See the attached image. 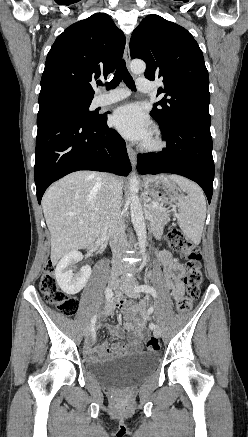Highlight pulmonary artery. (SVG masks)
<instances>
[{"instance_id": "1", "label": "pulmonary artery", "mask_w": 248, "mask_h": 437, "mask_svg": "<svg viewBox=\"0 0 248 437\" xmlns=\"http://www.w3.org/2000/svg\"><path fill=\"white\" fill-rule=\"evenodd\" d=\"M152 82L144 77H140L137 79V89L141 92H149L152 90ZM130 92L125 89H118L110 91L104 95H101L97 98L98 105H107L117 101H120L126 97H128Z\"/></svg>"}]
</instances>
